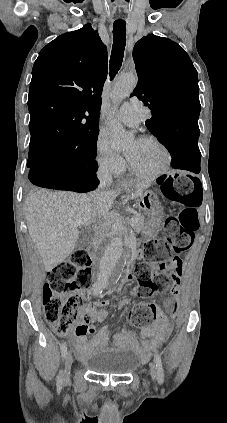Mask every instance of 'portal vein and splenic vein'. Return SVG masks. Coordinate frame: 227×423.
Instances as JSON below:
<instances>
[{
	"mask_svg": "<svg viewBox=\"0 0 227 423\" xmlns=\"http://www.w3.org/2000/svg\"><path fill=\"white\" fill-rule=\"evenodd\" d=\"M103 217H112V219H121V221L125 219V217H122V215H120V213H116V211H110V213H107V211H104ZM128 221H132V223H135L136 217H130Z\"/></svg>",
	"mask_w": 227,
	"mask_h": 423,
	"instance_id": "obj_1",
	"label": "portal vein and splenic vein"
}]
</instances>
